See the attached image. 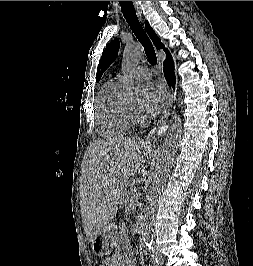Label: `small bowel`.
I'll return each instance as SVG.
<instances>
[{
    "label": "small bowel",
    "mask_w": 253,
    "mask_h": 266,
    "mask_svg": "<svg viewBox=\"0 0 253 266\" xmlns=\"http://www.w3.org/2000/svg\"><path fill=\"white\" fill-rule=\"evenodd\" d=\"M105 266H135V262L128 258L124 252L118 251L106 260Z\"/></svg>",
    "instance_id": "c3829d8e"
}]
</instances>
